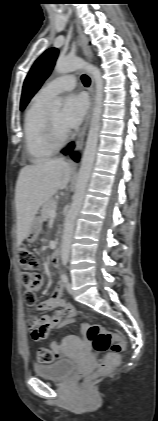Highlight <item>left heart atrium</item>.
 Instances as JSON below:
<instances>
[{"label":"left heart atrium","instance_id":"left-heart-atrium-1","mask_svg":"<svg viewBox=\"0 0 158 421\" xmlns=\"http://www.w3.org/2000/svg\"><path fill=\"white\" fill-rule=\"evenodd\" d=\"M87 111V101L83 95L71 94L64 100L63 109L61 112V125L69 131L78 126Z\"/></svg>","mask_w":158,"mask_h":421}]
</instances>
